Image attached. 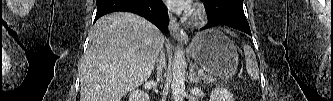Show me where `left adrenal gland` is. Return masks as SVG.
<instances>
[{
    "mask_svg": "<svg viewBox=\"0 0 333 101\" xmlns=\"http://www.w3.org/2000/svg\"><path fill=\"white\" fill-rule=\"evenodd\" d=\"M189 79H190V82L196 83V84H198L200 81L199 77L197 76V74L195 72L193 65H191V67H190Z\"/></svg>",
    "mask_w": 333,
    "mask_h": 101,
    "instance_id": "obj_1",
    "label": "left adrenal gland"
}]
</instances>
